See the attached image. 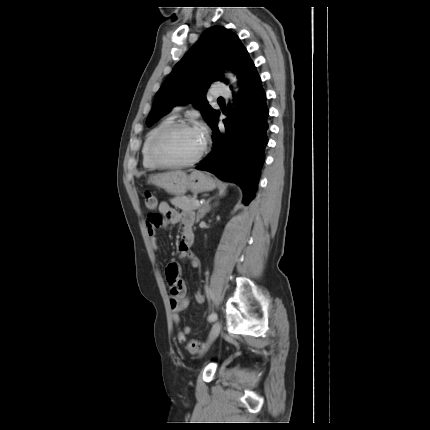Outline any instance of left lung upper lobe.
Wrapping results in <instances>:
<instances>
[{
  "label": "left lung upper lobe",
  "mask_w": 430,
  "mask_h": 430,
  "mask_svg": "<svg viewBox=\"0 0 430 430\" xmlns=\"http://www.w3.org/2000/svg\"><path fill=\"white\" fill-rule=\"evenodd\" d=\"M222 65L231 67L239 82L257 73L237 35L225 27L213 26L201 35L166 78L155 96L147 125L151 126L175 105L189 101L210 123L219 111L208 105L205 95L210 84L220 79Z\"/></svg>",
  "instance_id": "obj_1"
}]
</instances>
